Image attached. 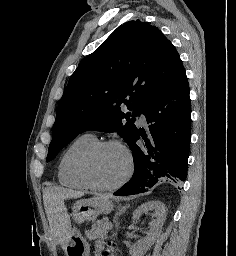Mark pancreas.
Masks as SVG:
<instances>
[{
    "label": "pancreas",
    "instance_id": "cf45deb5",
    "mask_svg": "<svg viewBox=\"0 0 236 256\" xmlns=\"http://www.w3.org/2000/svg\"><path fill=\"white\" fill-rule=\"evenodd\" d=\"M108 220H98L95 224V230L92 232H85L89 240H97V238H106L108 230H112V226H109Z\"/></svg>",
    "mask_w": 236,
    "mask_h": 256
}]
</instances>
